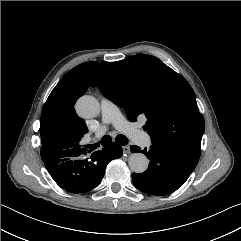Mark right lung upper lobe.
I'll use <instances>...</instances> for the list:
<instances>
[{
  "label": "right lung upper lobe",
  "mask_w": 241,
  "mask_h": 241,
  "mask_svg": "<svg viewBox=\"0 0 241 241\" xmlns=\"http://www.w3.org/2000/svg\"><path fill=\"white\" fill-rule=\"evenodd\" d=\"M97 62L80 64L67 72L49 95L41 114V157H66L86 152L81 139L88 128L73 108L89 87Z\"/></svg>",
  "instance_id": "1"
}]
</instances>
